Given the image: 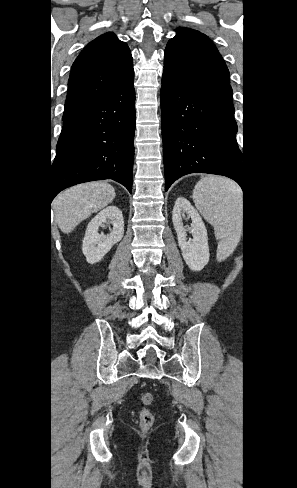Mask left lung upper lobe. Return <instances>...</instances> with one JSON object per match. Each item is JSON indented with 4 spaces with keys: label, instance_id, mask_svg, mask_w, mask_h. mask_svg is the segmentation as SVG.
I'll return each mask as SVG.
<instances>
[{
    "label": "left lung upper lobe",
    "instance_id": "obj_1",
    "mask_svg": "<svg viewBox=\"0 0 297 488\" xmlns=\"http://www.w3.org/2000/svg\"><path fill=\"white\" fill-rule=\"evenodd\" d=\"M167 43L164 71L183 86L235 112L229 71L213 42L199 31L179 28Z\"/></svg>",
    "mask_w": 297,
    "mask_h": 488
}]
</instances>
